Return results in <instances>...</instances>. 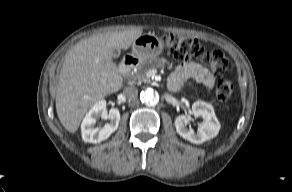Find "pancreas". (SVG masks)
Returning a JSON list of instances; mask_svg holds the SVG:
<instances>
[{
    "instance_id": "1",
    "label": "pancreas",
    "mask_w": 292,
    "mask_h": 192,
    "mask_svg": "<svg viewBox=\"0 0 292 192\" xmlns=\"http://www.w3.org/2000/svg\"><path fill=\"white\" fill-rule=\"evenodd\" d=\"M167 63L165 58H154L141 62L132 75V79L137 82L149 83L150 77L147 73L154 68H162Z\"/></svg>"
}]
</instances>
